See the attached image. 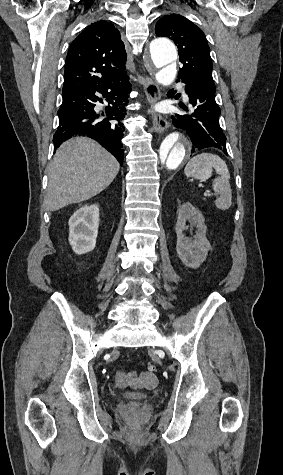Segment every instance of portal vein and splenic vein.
Here are the masks:
<instances>
[{"label":"portal vein and splenic vein","mask_w":283,"mask_h":475,"mask_svg":"<svg viewBox=\"0 0 283 475\" xmlns=\"http://www.w3.org/2000/svg\"><path fill=\"white\" fill-rule=\"evenodd\" d=\"M216 193H217V192H216V190H214V189L211 190V192H210V190L205 189V190L203 191V197H204L205 199H209V198L214 199V198L216 197Z\"/></svg>","instance_id":"1"}]
</instances>
